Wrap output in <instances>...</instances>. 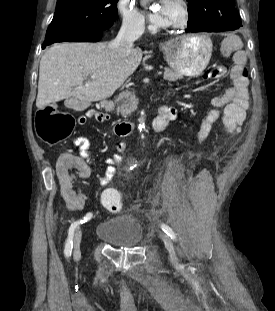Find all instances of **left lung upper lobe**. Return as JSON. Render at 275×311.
Listing matches in <instances>:
<instances>
[{
	"label": "left lung upper lobe",
	"instance_id": "left-lung-upper-lobe-1",
	"mask_svg": "<svg viewBox=\"0 0 275 311\" xmlns=\"http://www.w3.org/2000/svg\"><path fill=\"white\" fill-rule=\"evenodd\" d=\"M188 26L217 22L238 29L242 26L234 0H187Z\"/></svg>",
	"mask_w": 275,
	"mask_h": 311
}]
</instances>
